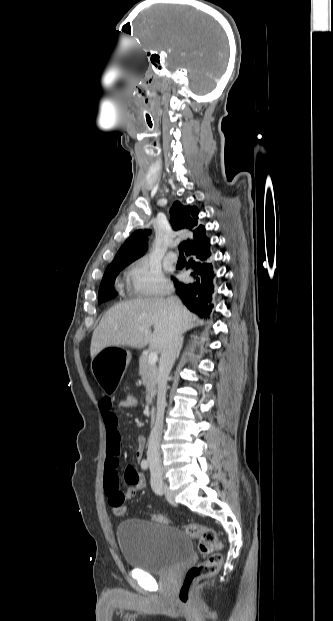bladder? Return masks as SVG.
<instances>
[{"instance_id": "31cf9c89", "label": "bladder", "mask_w": 333, "mask_h": 621, "mask_svg": "<svg viewBox=\"0 0 333 621\" xmlns=\"http://www.w3.org/2000/svg\"><path fill=\"white\" fill-rule=\"evenodd\" d=\"M116 537L125 562L152 574L168 573L191 550L184 532L154 520H125L117 526Z\"/></svg>"}]
</instances>
